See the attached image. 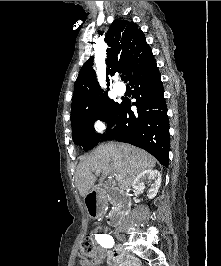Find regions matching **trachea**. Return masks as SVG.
Masks as SVG:
<instances>
[{
  "label": "trachea",
  "mask_w": 221,
  "mask_h": 266,
  "mask_svg": "<svg viewBox=\"0 0 221 266\" xmlns=\"http://www.w3.org/2000/svg\"><path fill=\"white\" fill-rule=\"evenodd\" d=\"M121 79L124 81V82H127V79H126V77L125 76H121Z\"/></svg>",
  "instance_id": "3493384b"
}]
</instances>
